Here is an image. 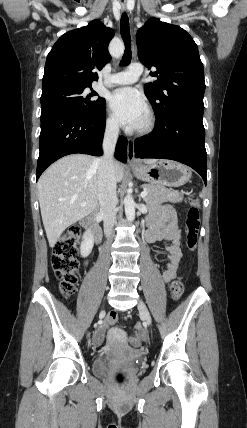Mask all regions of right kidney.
I'll use <instances>...</instances> for the list:
<instances>
[{"instance_id": "right-kidney-1", "label": "right kidney", "mask_w": 247, "mask_h": 428, "mask_svg": "<svg viewBox=\"0 0 247 428\" xmlns=\"http://www.w3.org/2000/svg\"><path fill=\"white\" fill-rule=\"evenodd\" d=\"M94 246V238L93 235L87 231L84 233L83 238H82V242H81V246H80V253L82 257H87Z\"/></svg>"}]
</instances>
